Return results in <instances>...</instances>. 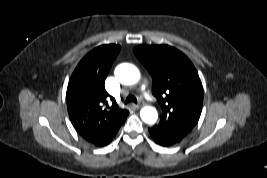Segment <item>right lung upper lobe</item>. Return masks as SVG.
Here are the masks:
<instances>
[{
  "instance_id": "obj_1",
  "label": "right lung upper lobe",
  "mask_w": 267,
  "mask_h": 178,
  "mask_svg": "<svg viewBox=\"0 0 267 178\" xmlns=\"http://www.w3.org/2000/svg\"><path fill=\"white\" fill-rule=\"evenodd\" d=\"M120 51L115 44L101 45L90 51L74 70L67 88L66 101L70 120L79 135L91 144L108 138L126 120L129 112L119 108L104 83ZM106 106V108H105Z\"/></svg>"
}]
</instances>
